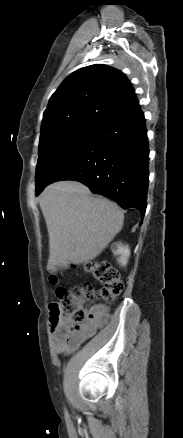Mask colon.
<instances>
[{
	"label": "colon",
	"instance_id": "1",
	"mask_svg": "<svg viewBox=\"0 0 183 438\" xmlns=\"http://www.w3.org/2000/svg\"><path fill=\"white\" fill-rule=\"evenodd\" d=\"M84 268L101 283L102 287L97 290L86 284L74 289L58 288L56 294L59 301L49 305V319L52 329L63 321L68 323L71 330L79 331L87 318L83 306L86 301L99 297L103 301L111 302L122 292L123 283L117 271L109 264L90 261L84 265ZM49 282L52 285L57 284V277L50 275Z\"/></svg>",
	"mask_w": 183,
	"mask_h": 438
}]
</instances>
